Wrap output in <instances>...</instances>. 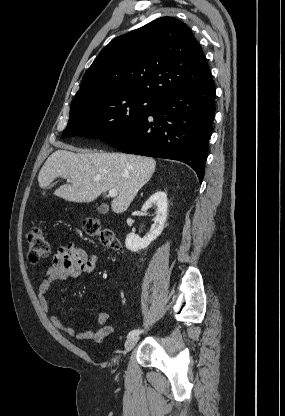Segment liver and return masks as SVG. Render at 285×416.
Returning a JSON list of instances; mask_svg holds the SVG:
<instances>
[{
  "mask_svg": "<svg viewBox=\"0 0 285 416\" xmlns=\"http://www.w3.org/2000/svg\"><path fill=\"white\" fill-rule=\"evenodd\" d=\"M56 150L42 166L38 182L40 188H47L55 178H65L68 184L60 186L55 196L67 202H94L108 190H117L118 196L111 202L114 214H123L139 190L151 180L156 162L145 156L132 154H95L75 150L62 142H56Z\"/></svg>",
  "mask_w": 285,
  "mask_h": 416,
  "instance_id": "liver-1",
  "label": "liver"
}]
</instances>
